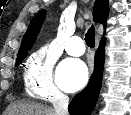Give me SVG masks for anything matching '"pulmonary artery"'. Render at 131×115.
I'll return each mask as SVG.
<instances>
[{"mask_svg": "<svg viewBox=\"0 0 131 115\" xmlns=\"http://www.w3.org/2000/svg\"><path fill=\"white\" fill-rule=\"evenodd\" d=\"M66 51L72 56H81L85 52V45L81 37L73 36L66 44Z\"/></svg>", "mask_w": 131, "mask_h": 115, "instance_id": "e3ab8cb5", "label": "pulmonary artery"}]
</instances>
